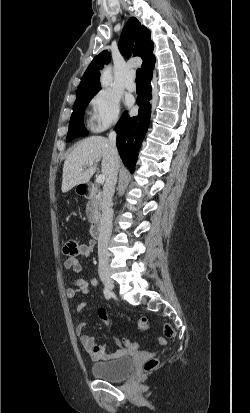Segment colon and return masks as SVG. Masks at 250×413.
I'll return each mask as SVG.
<instances>
[{
	"instance_id": "obj_1",
	"label": "colon",
	"mask_w": 250,
	"mask_h": 413,
	"mask_svg": "<svg viewBox=\"0 0 250 413\" xmlns=\"http://www.w3.org/2000/svg\"><path fill=\"white\" fill-rule=\"evenodd\" d=\"M78 250H79V244L75 239H68L63 246V252L65 255H68V256H76L78 254ZM99 317L103 320L104 325H108L109 327L111 326L110 319L104 309H101L99 311ZM148 327H149L148 320L146 318H141L138 322V328L140 330H146ZM163 332H164L165 338L167 339H172L175 336V330L169 324L164 325ZM120 342L123 343V345H125L126 349H131L130 351L134 355L138 353L139 349H143L145 346L143 342H139V341L135 342L134 339H130V338L127 339L126 336H121ZM158 342L161 345L166 344L165 339L162 337L158 339ZM158 366H159V360L156 358H150L143 365V369H142L143 373L144 374L150 373L154 371Z\"/></svg>"
}]
</instances>
